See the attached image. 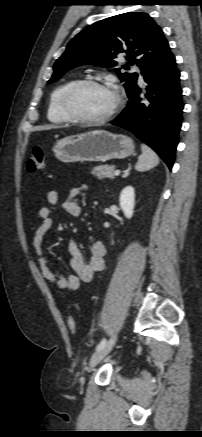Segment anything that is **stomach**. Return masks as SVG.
<instances>
[{
	"mask_svg": "<svg viewBox=\"0 0 202 437\" xmlns=\"http://www.w3.org/2000/svg\"><path fill=\"white\" fill-rule=\"evenodd\" d=\"M133 140L122 134L93 130L73 135L56 142L55 157L61 162H106L124 159L134 154Z\"/></svg>",
	"mask_w": 202,
	"mask_h": 437,
	"instance_id": "obj_1",
	"label": "stomach"
}]
</instances>
